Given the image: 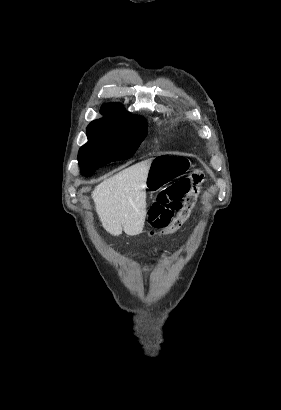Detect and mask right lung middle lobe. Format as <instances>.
<instances>
[{
    "label": "right lung middle lobe",
    "instance_id": "dd1d6c3e",
    "mask_svg": "<svg viewBox=\"0 0 281 410\" xmlns=\"http://www.w3.org/2000/svg\"><path fill=\"white\" fill-rule=\"evenodd\" d=\"M146 127L142 118L128 123L93 121L87 127L88 142L78 154L82 174L90 176L106 164L131 157L145 138Z\"/></svg>",
    "mask_w": 281,
    "mask_h": 410
}]
</instances>
